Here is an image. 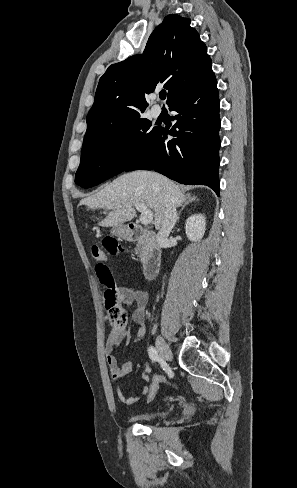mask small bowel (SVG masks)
<instances>
[{
  "label": "small bowel",
  "mask_w": 297,
  "mask_h": 488,
  "mask_svg": "<svg viewBox=\"0 0 297 488\" xmlns=\"http://www.w3.org/2000/svg\"><path fill=\"white\" fill-rule=\"evenodd\" d=\"M104 260L107 259L106 256L103 257ZM118 300L120 304L126 305L132 308L131 316L129 317L126 313L125 324H124V340L125 344L128 345L131 342L138 343L144 337L146 333L145 319H146V309L148 303V296L145 291L140 289H135L133 287L121 286L117 288ZM133 322L138 326V332L136 337L133 339L131 325ZM119 343V337L110 334L107 338L105 355L108 364L110 374L114 381L118 383L122 378L126 377L132 372L133 362L127 360L122 364H119L117 357L115 356V347ZM142 379L146 382H152L150 376L149 366L145 367L142 374ZM150 389V386H144L135 396H127L123 393L122 389L117 386V397L119 401L125 405H133L138 402L143 397H146V392Z\"/></svg>",
  "instance_id": "c3829d8e"
}]
</instances>
